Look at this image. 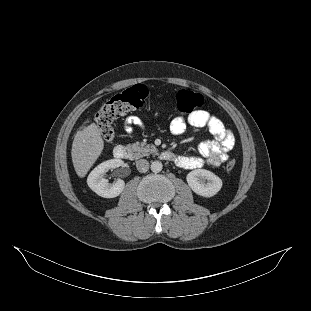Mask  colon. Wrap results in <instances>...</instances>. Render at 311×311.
Here are the masks:
<instances>
[{"mask_svg":"<svg viewBox=\"0 0 311 311\" xmlns=\"http://www.w3.org/2000/svg\"><path fill=\"white\" fill-rule=\"evenodd\" d=\"M149 91L144 85L128 88L107 100L96 114V122L103 140L109 143L114 138L113 122L145 105ZM203 104L200 94L187 89H182L176 96V107L181 113H191ZM236 165L234 158H229L226 163L227 170H232Z\"/></svg>","mask_w":311,"mask_h":311,"instance_id":"1","label":"colon"}]
</instances>
